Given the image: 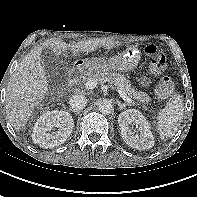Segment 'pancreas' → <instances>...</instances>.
Here are the masks:
<instances>
[{"mask_svg":"<svg viewBox=\"0 0 197 197\" xmlns=\"http://www.w3.org/2000/svg\"><path fill=\"white\" fill-rule=\"evenodd\" d=\"M89 80H96L99 83L108 82L114 84L118 88H121L128 97L137 100L140 103H148L151 100L148 94L137 91L133 88L126 77L120 73L111 71L88 73L87 76L83 78V81L86 82Z\"/></svg>","mask_w":197,"mask_h":197,"instance_id":"obj_1","label":"pancreas"}]
</instances>
